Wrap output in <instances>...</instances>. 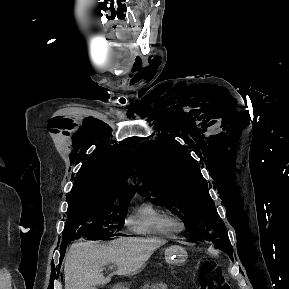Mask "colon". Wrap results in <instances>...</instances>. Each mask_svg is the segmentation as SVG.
<instances>
[{"instance_id":"obj_1","label":"colon","mask_w":289,"mask_h":289,"mask_svg":"<svg viewBox=\"0 0 289 289\" xmlns=\"http://www.w3.org/2000/svg\"><path fill=\"white\" fill-rule=\"evenodd\" d=\"M195 283L200 289H230L229 284L221 279L215 264L202 265L195 274Z\"/></svg>"}]
</instances>
